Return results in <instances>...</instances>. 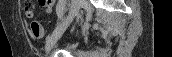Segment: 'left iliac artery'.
<instances>
[{
	"instance_id": "left-iliac-artery-1",
	"label": "left iliac artery",
	"mask_w": 172,
	"mask_h": 57,
	"mask_svg": "<svg viewBox=\"0 0 172 57\" xmlns=\"http://www.w3.org/2000/svg\"><path fill=\"white\" fill-rule=\"evenodd\" d=\"M64 4H65L64 0H59L57 7H56V12H57L58 16L62 15V9H63Z\"/></svg>"
}]
</instances>
